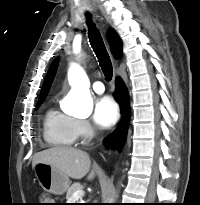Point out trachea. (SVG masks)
<instances>
[{"label":"trachea","mask_w":200,"mask_h":205,"mask_svg":"<svg viewBox=\"0 0 200 205\" xmlns=\"http://www.w3.org/2000/svg\"><path fill=\"white\" fill-rule=\"evenodd\" d=\"M86 17H87V24L89 25L88 37L90 40L91 47L93 48L98 58V62L101 66L105 78L107 80H111L113 76V68H112V63L109 54L106 50L105 44L103 42L99 30L92 22L91 14H87Z\"/></svg>","instance_id":"1"}]
</instances>
